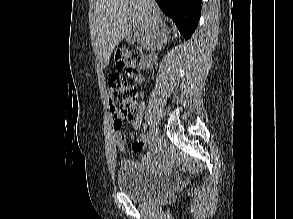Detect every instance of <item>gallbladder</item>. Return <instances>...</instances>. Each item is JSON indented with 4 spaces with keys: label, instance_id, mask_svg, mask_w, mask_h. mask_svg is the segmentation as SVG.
I'll list each match as a JSON object with an SVG mask.
<instances>
[{
    "label": "gallbladder",
    "instance_id": "1",
    "mask_svg": "<svg viewBox=\"0 0 293 219\" xmlns=\"http://www.w3.org/2000/svg\"><path fill=\"white\" fill-rule=\"evenodd\" d=\"M125 41L127 43L133 44L136 41V35H135V33L130 34L128 37H126Z\"/></svg>",
    "mask_w": 293,
    "mask_h": 219
}]
</instances>
